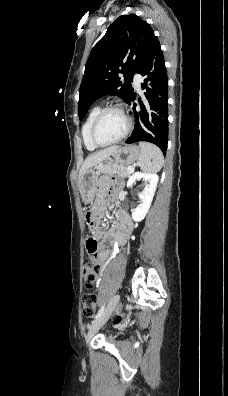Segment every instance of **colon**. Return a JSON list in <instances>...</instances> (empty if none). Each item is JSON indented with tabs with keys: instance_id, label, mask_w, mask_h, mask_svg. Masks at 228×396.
I'll list each match as a JSON object with an SVG mask.
<instances>
[{
	"instance_id": "colon-1",
	"label": "colon",
	"mask_w": 228,
	"mask_h": 396,
	"mask_svg": "<svg viewBox=\"0 0 228 396\" xmlns=\"http://www.w3.org/2000/svg\"><path fill=\"white\" fill-rule=\"evenodd\" d=\"M86 220L91 226L92 231L94 232V222L95 215L94 213L88 212L86 214ZM86 249L89 255H93L98 249V243L94 238H88L86 241ZM100 273L99 266L93 261L88 260L84 264V278L85 284L87 287H92L95 284V280ZM97 306V296L93 292H86L82 298V310L85 316H92L95 308ZM123 316L117 317V322H121L123 320Z\"/></svg>"
}]
</instances>
